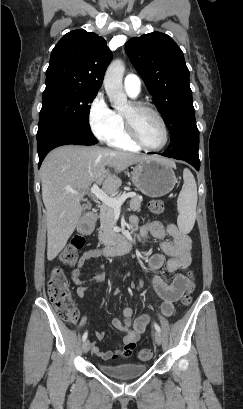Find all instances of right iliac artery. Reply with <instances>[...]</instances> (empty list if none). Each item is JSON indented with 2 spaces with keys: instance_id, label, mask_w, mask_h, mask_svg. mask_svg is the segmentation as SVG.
Masks as SVG:
<instances>
[{
  "instance_id": "1",
  "label": "right iliac artery",
  "mask_w": 243,
  "mask_h": 409,
  "mask_svg": "<svg viewBox=\"0 0 243 409\" xmlns=\"http://www.w3.org/2000/svg\"><path fill=\"white\" fill-rule=\"evenodd\" d=\"M87 336H88V332L86 331V332L83 334L82 340L85 341V340L87 339Z\"/></svg>"
}]
</instances>
